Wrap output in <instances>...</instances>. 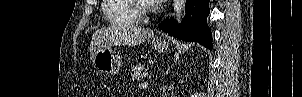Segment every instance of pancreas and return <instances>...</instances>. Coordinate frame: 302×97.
<instances>
[{
  "instance_id": "cf45deb5",
  "label": "pancreas",
  "mask_w": 302,
  "mask_h": 97,
  "mask_svg": "<svg viewBox=\"0 0 302 97\" xmlns=\"http://www.w3.org/2000/svg\"><path fill=\"white\" fill-rule=\"evenodd\" d=\"M146 77V67L144 65H136L132 68V79L143 80Z\"/></svg>"
}]
</instances>
